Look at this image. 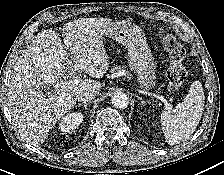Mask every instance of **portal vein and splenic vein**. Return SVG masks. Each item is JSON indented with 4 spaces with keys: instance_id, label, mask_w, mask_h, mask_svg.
Returning <instances> with one entry per match:
<instances>
[{
    "instance_id": "18ae733b",
    "label": "portal vein and splenic vein",
    "mask_w": 224,
    "mask_h": 175,
    "mask_svg": "<svg viewBox=\"0 0 224 175\" xmlns=\"http://www.w3.org/2000/svg\"><path fill=\"white\" fill-rule=\"evenodd\" d=\"M80 82V77L79 76H76L74 77L73 80L69 81V82H61L59 84H56V87L57 88H65L71 84H78ZM168 108L171 109V105L168 104Z\"/></svg>"
}]
</instances>
